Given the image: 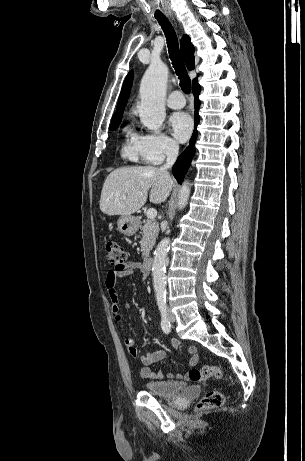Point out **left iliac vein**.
Listing matches in <instances>:
<instances>
[{"label": "left iliac vein", "instance_id": "left-iliac-vein-1", "mask_svg": "<svg viewBox=\"0 0 305 461\" xmlns=\"http://www.w3.org/2000/svg\"><path fill=\"white\" fill-rule=\"evenodd\" d=\"M169 319L171 322H174L175 321V316L172 312H169Z\"/></svg>", "mask_w": 305, "mask_h": 461}]
</instances>
